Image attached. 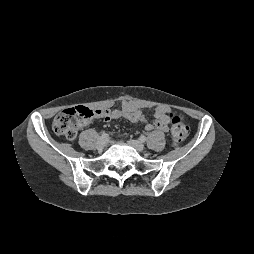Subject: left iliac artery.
<instances>
[{"label": "left iliac artery", "instance_id": "left-iliac-artery-1", "mask_svg": "<svg viewBox=\"0 0 254 254\" xmlns=\"http://www.w3.org/2000/svg\"><path fill=\"white\" fill-rule=\"evenodd\" d=\"M146 139H147V138H146L144 135H141V136L139 137V140H140L141 142H145Z\"/></svg>", "mask_w": 254, "mask_h": 254}]
</instances>
